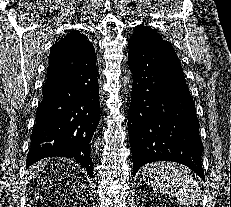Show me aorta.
Listing matches in <instances>:
<instances>
[{"label": "aorta", "instance_id": "762f6f07", "mask_svg": "<svg viewBox=\"0 0 231 207\" xmlns=\"http://www.w3.org/2000/svg\"><path fill=\"white\" fill-rule=\"evenodd\" d=\"M124 83H125V84L129 83V78L126 77V76L124 77Z\"/></svg>", "mask_w": 231, "mask_h": 207}]
</instances>
